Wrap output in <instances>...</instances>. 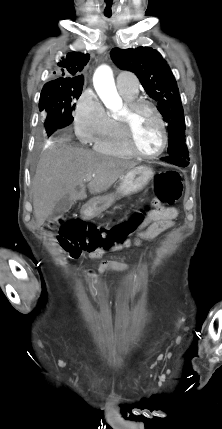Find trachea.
Returning <instances> with one entry per match:
<instances>
[{
	"instance_id": "obj_1",
	"label": "trachea",
	"mask_w": 222,
	"mask_h": 429,
	"mask_svg": "<svg viewBox=\"0 0 222 429\" xmlns=\"http://www.w3.org/2000/svg\"><path fill=\"white\" fill-rule=\"evenodd\" d=\"M105 16H106V17H110V16H111V13H109V14L105 13Z\"/></svg>"
}]
</instances>
